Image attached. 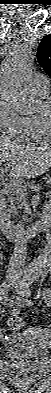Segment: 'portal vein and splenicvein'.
<instances>
[{"instance_id": "obj_1", "label": "portal vein and splenic vein", "mask_w": 51, "mask_h": 393, "mask_svg": "<svg viewBox=\"0 0 51 393\" xmlns=\"http://www.w3.org/2000/svg\"><path fill=\"white\" fill-rule=\"evenodd\" d=\"M2 184L5 186V188H7V189H9L11 191L22 192L25 195H27V189H26L25 186H21V185L16 184V183H9V184L2 183Z\"/></svg>"}]
</instances>
